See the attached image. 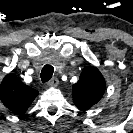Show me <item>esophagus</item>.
<instances>
[{
    "instance_id": "obj_1",
    "label": "esophagus",
    "mask_w": 133,
    "mask_h": 133,
    "mask_svg": "<svg viewBox=\"0 0 133 133\" xmlns=\"http://www.w3.org/2000/svg\"><path fill=\"white\" fill-rule=\"evenodd\" d=\"M58 85V79L53 78L51 81L48 82L49 87H56Z\"/></svg>"
}]
</instances>
